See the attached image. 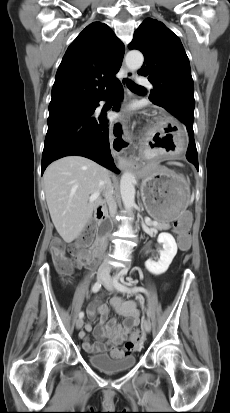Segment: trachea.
<instances>
[{
    "label": "trachea",
    "mask_w": 230,
    "mask_h": 413,
    "mask_svg": "<svg viewBox=\"0 0 230 413\" xmlns=\"http://www.w3.org/2000/svg\"><path fill=\"white\" fill-rule=\"evenodd\" d=\"M127 86L130 90H137V89H143L142 86L137 85L131 80H127Z\"/></svg>",
    "instance_id": "1"
}]
</instances>
